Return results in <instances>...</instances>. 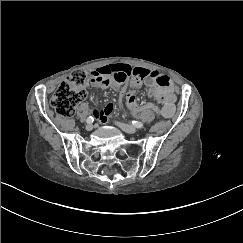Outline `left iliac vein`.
I'll list each match as a JSON object with an SVG mask.
<instances>
[{
  "instance_id": "obj_1",
  "label": "left iliac vein",
  "mask_w": 243,
  "mask_h": 243,
  "mask_svg": "<svg viewBox=\"0 0 243 243\" xmlns=\"http://www.w3.org/2000/svg\"><path fill=\"white\" fill-rule=\"evenodd\" d=\"M116 125L118 127H120L126 133L134 134V133L137 132V129L134 126L124 124V123H120V122H116Z\"/></svg>"
}]
</instances>
